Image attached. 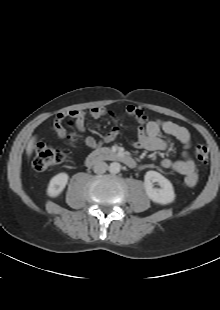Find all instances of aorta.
<instances>
[{"label":"aorta","mask_w":220,"mask_h":310,"mask_svg":"<svg viewBox=\"0 0 220 310\" xmlns=\"http://www.w3.org/2000/svg\"><path fill=\"white\" fill-rule=\"evenodd\" d=\"M108 169H109L110 173L117 174L120 172L121 165L118 162H112V163H110Z\"/></svg>","instance_id":"aorta-1"}]
</instances>
